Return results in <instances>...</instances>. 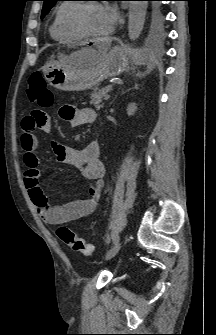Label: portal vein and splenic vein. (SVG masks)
Listing matches in <instances>:
<instances>
[{"mask_svg":"<svg viewBox=\"0 0 216 335\" xmlns=\"http://www.w3.org/2000/svg\"><path fill=\"white\" fill-rule=\"evenodd\" d=\"M109 98H110V95L106 94L105 97H104V100L107 101V100H109Z\"/></svg>","mask_w":216,"mask_h":335,"instance_id":"obj_1","label":"portal vein and splenic vein"}]
</instances>
